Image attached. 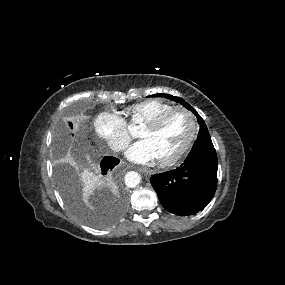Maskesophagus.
Segmentation results:
<instances>
[{"label":"esophagus","mask_w":285,"mask_h":285,"mask_svg":"<svg viewBox=\"0 0 285 285\" xmlns=\"http://www.w3.org/2000/svg\"><path fill=\"white\" fill-rule=\"evenodd\" d=\"M140 171L146 176L151 175L153 173V170L145 167L140 168Z\"/></svg>","instance_id":"34e87169"}]
</instances>
